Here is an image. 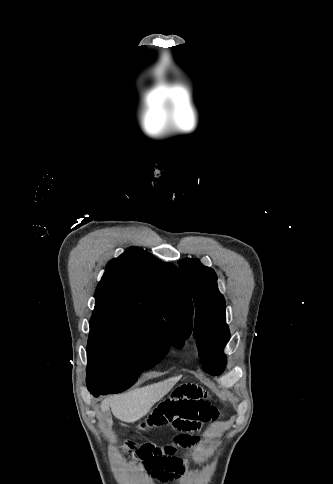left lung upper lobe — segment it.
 <instances>
[{
    "label": "left lung upper lobe",
    "mask_w": 333,
    "mask_h": 484,
    "mask_svg": "<svg viewBox=\"0 0 333 484\" xmlns=\"http://www.w3.org/2000/svg\"><path fill=\"white\" fill-rule=\"evenodd\" d=\"M184 279L190 286L196 307L194 335L205 370L217 375L225 368L223 349L230 332L225 319V299L217 287L215 271L197 259L178 261Z\"/></svg>",
    "instance_id": "5c2ea615"
}]
</instances>
